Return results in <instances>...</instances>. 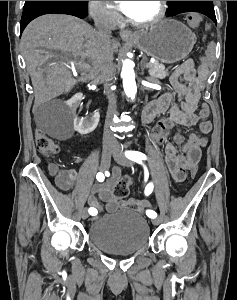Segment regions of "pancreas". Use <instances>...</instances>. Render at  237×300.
<instances>
[{"label": "pancreas", "instance_id": "1", "mask_svg": "<svg viewBox=\"0 0 237 300\" xmlns=\"http://www.w3.org/2000/svg\"><path fill=\"white\" fill-rule=\"evenodd\" d=\"M152 65H154V68L149 69L148 73L149 75H151V77H159V79H163V77H167V73L165 71V67L164 65H161V63H159V61H155V63H150ZM146 67L148 64H146Z\"/></svg>", "mask_w": 237, "mask_h": 300}]
</instances>
